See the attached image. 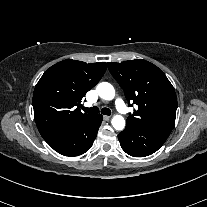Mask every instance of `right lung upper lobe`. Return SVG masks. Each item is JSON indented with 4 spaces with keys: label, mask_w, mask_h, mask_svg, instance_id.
<instances>
[{
    "label": "right lung upper lobe",
    "mask_w": 207,
    "mask_h": 207,
    "mask_svg": "<svg viewBox=\"0 0 207 207\" xmlns=\"http://www.w3.org/2000/svg\"><path fill=\"white\" fill-rule=\"evenodd\" d=\"M105 71L104 62L87 64L64 60L42 75L34 89L33 109L38 130L47 142L70 126L94 116L82 113L78 107Z\"/></svg>",
    "instance_id": "right-lung-upper-lobe-1"
}]
</instances>
